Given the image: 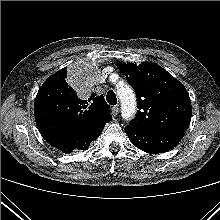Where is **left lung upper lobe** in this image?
Segmentation results:
<instances>
[{
	"label": "left lung upper lobe",
	"mask_w": 220,
	"mask_h": 220,
	"mask_svg": "<svg viewBox=\"0 0 220 220\" xmlns=\"http://www.w3.org/2000/svg\"><path fill=\"white\" fill-rule=\"evenodd\" d=\"M138 100L137 115L130 125L156 132H185L192 107L186 88L154 63L119 64Z\"/></svg>",
	"instance_id": "1"
}]
</instances>
